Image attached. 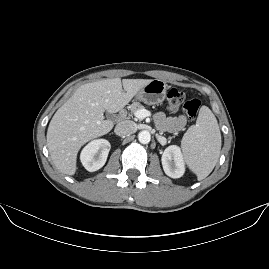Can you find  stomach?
I'll use <instances>...</instances> for the list:
<instances>
[{
  "label": "stomach",
  "instance_id": "0dacf381",
  "mask_svg": "<svg viewBox=\"0 0 269 269\" xmlns=\"http://www.w3.org/2000/svg\"><path fill=\"white\" fill-rule=\"evenodd\" d=\"M166 90V82L154 79L136 94V99L148 105L158 104L165 99Z\"/></svg>",
  "mask_w": 269,
  "mask_h": 269
}]
</instances>
